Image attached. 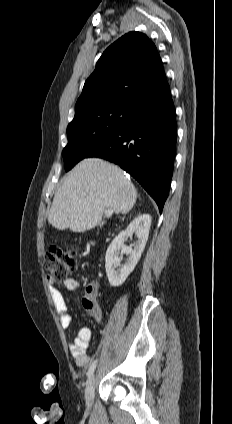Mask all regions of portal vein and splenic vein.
Returning <instances> with one entry per match:
<instances>
[{
    "mask_svg": "<svg viewBox=\"0 0 232 424\" xmlns=\"http://www.w3.org/2000/svg\"><path fill=\"white\" fill-rule=\"evenodd\" d=\"M105 213L107 214L108 217H110L112 215V212L111 211H107L106 210Z\"/></svg>",
    "mask_w": 232,
    "mask_h": 424,
    "instance_id": "obj_1",
    "label": "portal vein and splenic vein"
}]
</instances>
